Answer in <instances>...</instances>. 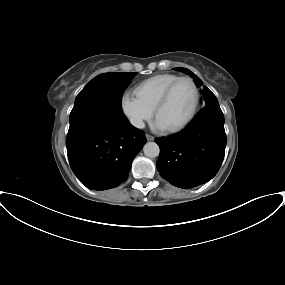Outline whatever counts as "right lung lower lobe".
<instances>
[{
  "label": "right lung lower lobe",
  "mask_w": 285,
  "mask_h": 285,
  "mask_svg": "<svg viewBox=\"0 0 285 285\" xmlns=\"http://www.w3.org/2000/svg\"><path fill=\"white\" fill-rule=\"evenodd\" d=\"M146 142L144 132L125 116L92 111L70 121L66 146L77 178L87 188L100 191L127 179L132 161Z\"/></svg>",
  "instance_id": "98d812e1"
}]
</instances>
